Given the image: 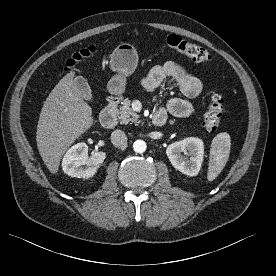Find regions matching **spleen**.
Instances as JSON below:
<instances>
[{
	"mask_svg": "<svg viewBox=\"0 0 276 276\" xmlns=\"http://www.w3.org/2000/svg\"><path fill=\"white\" fill-rule=\"evenodd\" d=\"M231 139L226 132L217 134L211 143L207 179L213 181L225 167L230 154Z\"/></svg>",
	"mask_w": 276,
	"mask_h": 276,
	"instance_id": "spleen-1",
	"label": "spleen"
}]
</instances>
